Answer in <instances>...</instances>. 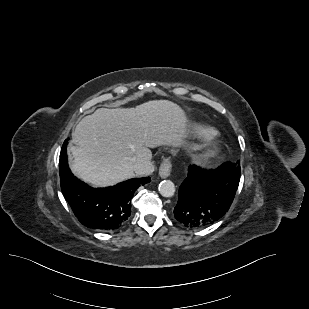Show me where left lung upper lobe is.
I'll use <instances>...</instances> for the list:
<instances>
[{"instance_id":"5c2ea615","label":"left lung upper lobe","mask_w":309,"mask_h":309,"mask_svg":"<svg viewBox=\"0 0 309 309\" xmlns=\"http://www.w3.org/2000/svg\"><path fill=\"white\" fill-rule=\"evenodd\" d=\"M234 165L240 167L239 161H237L236 163H234Z\"/></svg>"}]
</instances>
